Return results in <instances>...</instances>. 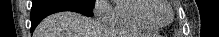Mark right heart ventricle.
I'll return each instance as SVG.
<instances>
[{
	"mask_svg": "<svg viewBox=\"0 0 219 37\" xmlns=\"http://www.w3.org/2000/svg\"><path fill=\"white\" fill-rule=\"evenodd\" d=\"M150 6L146 0H120L114 10L112 26L138 32L157 33L161 27L151 24L144 17V10Z\"/></svg>",
	"mask_w": 219,
	"mask_h": 37,
	"instance_id": "obj_1",
	"label": "right heart ventricle"
}]
</instances>
